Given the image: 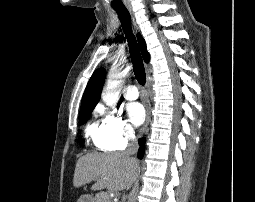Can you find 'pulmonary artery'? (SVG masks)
I'll return each instance as SVG.
<instances>
[{
	"label": "pulmonary artery",
	"mask_w": 255,
	"mask_h": 202,
	"mask_svg": "<svg viewBox=\"0 0 255 202\" xmlns=\"http://www.w3.org/2000/svg\"><path fill=\"white\" fill-rule=\"evenodd\" d=\"M138 95L139 93L135 85L130 84L124 89V96L128 100H135L138 98Z\"/></svg>",
	"instance_id": "e3ab8cb5"
}]
</instances>
